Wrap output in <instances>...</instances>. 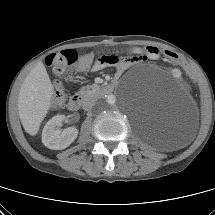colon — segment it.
<instances>
[{"mask_svg":"<svg viewBox=\"0 0 215 215\" xmlns=\"http://www.w3.org/2000/svg\"><path fill=\"white\" fill-rule=\"evenodd\" d=\"M162 55L168 60L176 62L179 67L183 68L188 74V78L191 82H195L197 80V76L194 74L191 65L189 63H186V58H182L180 54H176L169 50H164L162 52ZM46 63L52 68L55 73H62L67 66L75 63L73 65V70L78 76H83L92 66L90 55L82 56L79 59L77 52L73 49H67L59 53L49 55L46 58ZM63 99L64 95L62 84L60 81H56L54 85V107L61 106Z\"/></svg>","mask_w":215,"mask_h":215,"instance_id":"5ec220e1","label":"colon"}]
</instances>
